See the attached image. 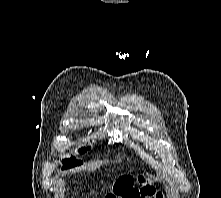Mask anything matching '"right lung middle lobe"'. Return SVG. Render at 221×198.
<instances>
[{"instance_id":"dd1d6c3e","label":"right lung middle lobe","mask_w":221,"mask_h":198,"mask_svg":"<svg viewBox=\"0 0 221 198\" xmlns=\"http://www.w3.org/2000/svg\"><path fill=\"white\" fill-rule=\"evenodd\" d=\"M87 150H89V148H82L80 150V153H84ZM82 163H83L82 161L76 160L74 157H71L70 159L63 160V167H62V169H69V168L81 165Z\"/></svg>"}]
</instances>
